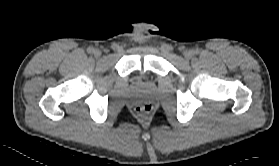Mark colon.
I'll return each instance as SVG.
<instances>
[{
	"instance_id": "obj_1",
	"label": "colon",
	"mask_w": 279,
	"mask_h": 166,
	"mask_svg": "<svg viewBox=\"0 0 279 166\" xmlns=\"http://www.w3.org/2000/svg\"><path fill=\"white\" fill-rule=\"evenodd\" d=\"M135 111L138 116L144 117L151 113L152 106L150 104H141L136 107Z\"/></svg>"
}]
</instances>
